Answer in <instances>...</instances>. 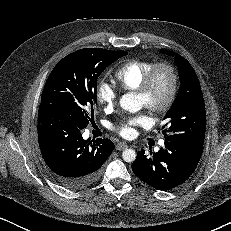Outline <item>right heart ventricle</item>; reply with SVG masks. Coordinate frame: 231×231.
<instances>
[{
  "label": "right heart ventricle",
  "mask_w": 231,
  "mask_h": 231,
  "mask_svg": "<svg viewBox=\"0 0 231 231\" xmlns=\"http://www.w3.org/2000/svg\"><path fill=\"white\" fill-rule=\"evenodd\" d=\"M151 60H131L123 64L114 74L117 86L124 91H135L147 72L152 68Z\"/></svg>",
  "instance_id": "obj_1"
}]
</instances>
